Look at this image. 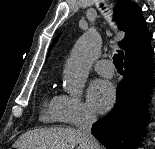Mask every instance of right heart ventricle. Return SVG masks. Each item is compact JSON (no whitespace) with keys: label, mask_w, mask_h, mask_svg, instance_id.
I'll use <instances>...</instances> for the list:
<instances>
[{"label":"right heart ventricle","mask_w":155,"mask_h":149,"mask_svg":"<svg viewBox=\"0 0 155 149\" xmlns=\"http://www.w3.org/2000/svg\"><path fill=\"white\" fill-rule=\"evenodd\" d=\"M59 96H46L41 111L44 122L60 121Z\"/></svg>","instance_id":"1"}]
</instances>
